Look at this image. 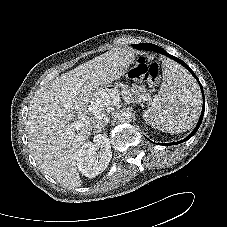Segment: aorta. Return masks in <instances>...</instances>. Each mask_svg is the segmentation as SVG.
I'll use <instances>...</instances> for the list:
<instances>
[{
	"label": "aorta",
	"instance_id": "762f6f07",
	"mask_svg": "<svg viewBox=\"0 0 227 227\" xmlns=\"http://www.w3.org/2000/svg\"><path fill=\"white\" fill-rule=\"evenodd\" d=\"M117 117L120 122H131L134 117V113L130 108H122L117 112Z\"/></svg>",
	"mask_w": 227,
	"mask_h": 227
}]
</instances>
